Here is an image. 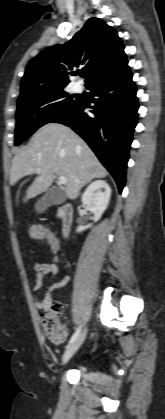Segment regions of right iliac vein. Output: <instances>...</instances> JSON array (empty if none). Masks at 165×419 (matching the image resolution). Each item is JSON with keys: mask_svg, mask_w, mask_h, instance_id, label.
I'll return each mask as SVG.
<instances>
[{"mask_svg": "<svg viewBox=\"0 0 165 419\" xmlns=\"http://www.w3.org/2000/svg\"><path fill=\"white\" fill-rule=\"evenodd\" d=\"M87 334V329H84L79 336L67 347L65 353L62 357V365L66 364L71 357L76 353V351L83 344Z\"/></svg>", "mask_w": 165, "mask_h": 419, "instance_id": "63e3f726", "label": "right iliac vein"}]
</instances>
